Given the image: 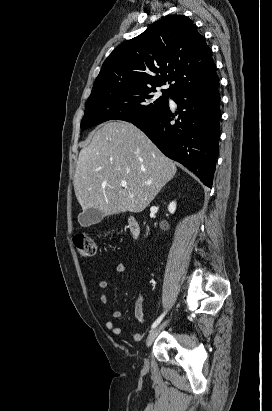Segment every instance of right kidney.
I'll return each instance as SVG.
<instances>
[{
    "label": "right kidney",
    "mask_w": 272,
    "mask_h": 411,
    "mask_svg": "<svg viewBox=\"0 0 272 411\" xmlns=\"http://www.w3.org/2000/svg\"><path fill=\"white\" fill-rule=\"evenodd\" d=\"M176 210V202L172 201L168 206V211L173 214Z\"/></svg>",
    "instance_id": "1"
}]
</instances>
